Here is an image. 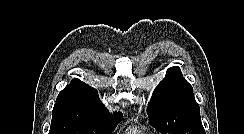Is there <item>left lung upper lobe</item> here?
I'll use <instances>...</instances> for the list:
<instances>
[{
	"mask_svg": "<svg viewBox=\"0 0 244 134\" xmlns=\"http://www.w3.org/2000/svg\"><path fill=\"white\" fill-rule=\"evenodd\" d=\"M150 124L162 133L205 134L192 86L179 67L167 70L147 107Z\"/></svg>",
	"mask_w": 244,
	"mask_h": 134,
	"instance_id": "1",
	"label": "left lung upper lobe"
}]
</instances>
